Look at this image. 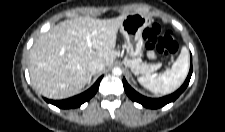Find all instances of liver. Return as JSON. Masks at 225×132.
<instances>
[{
    "instance_id": "6515ba94",
    "label": "liver",
    "mask_w": 225,
    "mask_h": 132,
    "mask_svg": "<svg viewBox=\"0 0 225 132\" xmlns=\"http://www.w3.org/2000/svg\"><path fill=\"white\" fill-rule=\"evenodd\" d=\"M128 14L113 19L79 17L60 22L42 34L29 54V71L34 87L50 99L78 94L91 76L93 60L113 64L118 29ZM91 35L89 48L86 36Z\"/></svg>"
}]
</instances>
